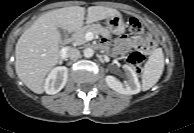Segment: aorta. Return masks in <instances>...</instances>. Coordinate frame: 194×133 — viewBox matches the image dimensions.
Returning a JSON list of instances; mask_svg holds the SVG:
<instances>
[{
  "label": "aorta",
  "mask_w": 194,
  "mask_h": 133,
  "mask_svg": "<svg viewBox=\"0 0 194 133\" xmlns=\"http://www.w3.org/2000/svg\"><path fill=\"white\" fill-rule=\"evenodd\" d=\"M83 54H84V56H85L86 58H90V57L93 56L94 51H93L92 48H86V49H84Z\"/></svg>",
  "instance_id": "aorta-1"
}]
</instances>
